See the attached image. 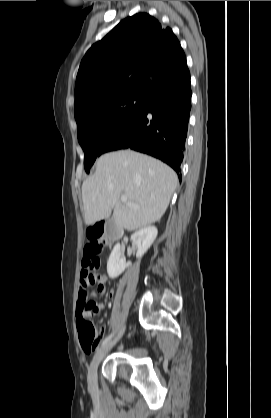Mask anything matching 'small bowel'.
<instances>
[{"mask_svg":"<svg viewBox=\"0 0 271 418\" xmlns=\"http://www.w3.org/2000/svg\"><path fill=\"white\" fill-rule=\"evenodd\" d=\"M94 274V279L92 280V282L90 281V277L92 275V268L91 265L89 263V261L87 259H83L82 260V269H81V273H80V290H79V295H78V302H77V317L78 320L81 316V314H96L97 311L101 308V305L97 304V300L96 299H88V297L86 295H81V292L85 291V288L94 283L97 282L98 283V287L96 289V291H94L92 293V296L94 298H98L101 297L104 292H105V278L102 275ZM109 296L112 297L113 293L110 292ZM84 304V305H81ZM83 321L84 322H89L90 321V316L89 315H84L83 316ZM93 351V350H92ZM92 351L86 352V353H90Z\"/></svg>","mask_w":271,"mask_h":418,"instance_id":"1","label":"small bowel"}]
</instances>
